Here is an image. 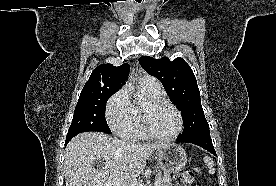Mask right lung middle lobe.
I'll use <instances>...</instances> for the list:
<instances>
[{
    "label": "right lung middle lobe",
    "instance_id": "obj_1",
    "mask_svg": "<svg viewBox=\"0 0 276 186\" xmlns=\"http://www.w3.org/2000/svg\"><path fill=\"white\" fill-rule=\"evenodd\" d=\"M115 92L112 90L82 91L67 135L85 131H101L110 134L111 131L105 119V106L109 97Z\"/></svg>",
    "mask_w": 276,
    "mask_h": 186
}]
</instances>
